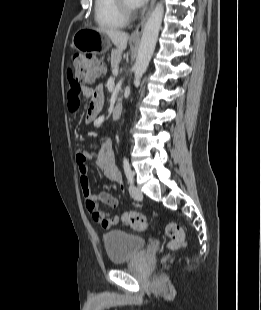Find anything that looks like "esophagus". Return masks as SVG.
I'll use <instances>...</instances> for the list:
<instances>
[{
    "label": "esophagus",
    "instance_id": "esophagus-1",
    "mask_svg": "<svg viewBox=\"0 0 261 310\" xmlns=\"http://www.w3.org/2000/svg\"><path fill=\"white\" fill-rule=\"evenodd\" d=\"M155 1L156 0H151V3H150V7L146 13V15L143 17V19L140 21V23L137 25L136 29L132 32L131 34V39L132 40H138L143 32V29H144V26L146 24V21L148 20L149 18V15L155 5Z\"/></svg>",
    "mask_w": 261,
    "mask_h": 310
}]
</instances>
